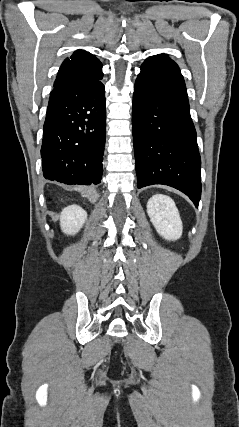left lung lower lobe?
<instances>
[{"instance_id": "left-lung-lower-lobe-1", "label": "left lung lower lobe", "mask_w": 239, "mask_h": 427, "mask_svg": "<svg viewBox=\"0 0 239 427\" xmlns=\"http://www.w3.org/2000/svg\"><path fill=\"white\" fill-rule=\"evenodd\" d=\"M132 125L138 188L168 185L198 207L201 159L179 71L150 61L141 65L134 86Z\"/></svg>"}]
</instances>
